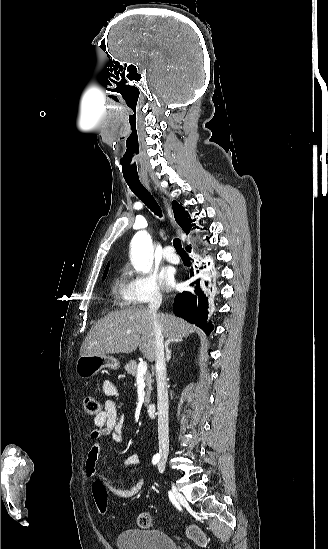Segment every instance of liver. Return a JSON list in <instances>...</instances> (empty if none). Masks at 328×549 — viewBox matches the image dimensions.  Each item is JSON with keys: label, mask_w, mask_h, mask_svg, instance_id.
Listing matches in <instances>:
<instances>
[{"label": "liver", "mask_w": 328, "mask_h": 549, "mask_svg": "<svg viewBox=\"0 0 328 549\" xmlns=\"http://www.w3.org/2000/svg\"><path fill=\"white\" fill-rule=\"evenodd\" d=\"M162 335L167 341H182L193 333L191 325L175 315L157 313ZM154 317L143 305L128 307L109 313L90 329L82 347L84 355H111V353H134L139 347L148 361H155Z\"/></svg>", "instance_id": "1"}]
</instances>
